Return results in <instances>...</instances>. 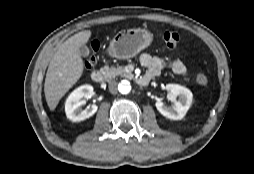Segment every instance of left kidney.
I'll use <instances>...</instances> for the list:
<instances>
[{
    "label": "left kidney",
    "instance_id": "5707ae66",
    "mask_svg": "<svg viewBox=\"0 0 254 174\" xmlns=\"http://www.w3.org/2000/svg\"><path fill=\"white\" fill-rule=\"evenodd\" d=\"M166 90L173 104L167 106L162 101L157 100L155 106L166 118L181 120L186 115L192 103V92L188 88L178 84H167Z\"/></svg>",
    "mask_w": 254,
    "mask_h": 174
}]
</instances>
